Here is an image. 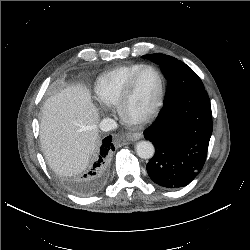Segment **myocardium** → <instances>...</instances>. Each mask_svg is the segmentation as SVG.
Segmentation results:
<instances>
[{"mask_svg": "<svg viewBox=\"0 0 250 250\" xmlns=\"http://www.w3.org/2000/svg\"><path fill=\"white\" fill-rule=\"evenodd\" d=\"M146 70H151L157 75L158 82H159L158 91L152 104L143 114L139 116H131L128 113V109H127L128 103L133 94L137 80L139 79L141 74ZM163 99H164V79H163L162 74L154 66L145 65L141 69H139L127 83L117 103V108H118L119 115L124 122H126L128 125L139 127V126H143L147 124L156 116V114L158 113L159 109L162 106Z\"/></svg>", "mask_w": 250, "mask_h": 250, "instance_id": "f54148a6", "label": "myocardium"}]
</instances>
